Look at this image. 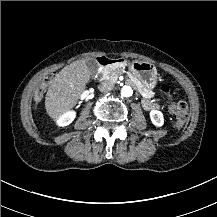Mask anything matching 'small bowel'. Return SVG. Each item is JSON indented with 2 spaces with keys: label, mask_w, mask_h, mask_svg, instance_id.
Masks as SVG:
<instances>
[{
  "label": "small bowel",
  "mask_w": 217,
  "mask_h": 217,
  "mask_svg": "<svg viewBox=\"0 0 217 217\" xmlns=\"http://www.w3.org/2000/svg\"><path fill=\"white\" fill-rule=\"evenodd\" d=\"M143 106L146 110H154L158 108V105L149 98H146L143 101Z\"/></svg>",
  "instance_id": "obj_1"
}]
</instances>
